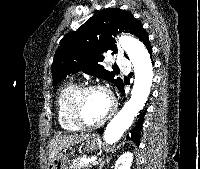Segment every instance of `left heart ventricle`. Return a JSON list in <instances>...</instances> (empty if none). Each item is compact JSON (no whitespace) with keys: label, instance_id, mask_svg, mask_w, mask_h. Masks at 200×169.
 Instances as JSON below:
<instances>
[{"label":"left heart ventricle","instance_id":"1","mask_svg":"<svg viewBox=\"0 0 200 169\" xmlns=\"http://www.w3.org/2000/svg\"><path fill=\"white\" fill-rule=\"evenodd\" d=\"M110 101L108 96L100 91L89 93L82 105L83 119L88 124L100 121L109 111Z\"/></svg>","mask_w":200,"mask_h":169}]
</instances>
